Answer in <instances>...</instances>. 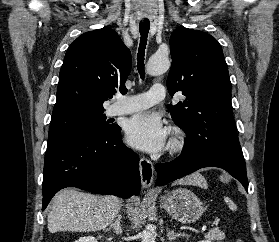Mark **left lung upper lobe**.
<instances>
[{
	"label": "left lung upper lobe",
	"instance_id": "obj_1",
	"mask_svg": "<svg viewBox=\"0 0 279 242\" xmlns=\"http://www.w3.org/2000/svg\"><path fill=\"white\" fill-rule=\"evenodd\" d=\"M172 67L167 79L171 116L187 134L183 154L223 153L243 157L231 108V82L221 45L211 35L178 28L170 37Z\"/></svg>",
	"mask_w": 279,
	"mask_h": 242
}]
</instances>
